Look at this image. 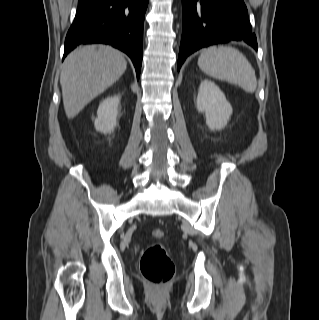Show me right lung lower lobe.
<instances>
[{"label":"right lung lower lobe","instance_id":"obj_1","mask_svg":"<svg viewBox=\"0 0 319 320\" xmlns=\"http://www.w3.org/2000/svg\"><path fill=\"white\" fill-rule=\"evenodd\" d=\"M149 0H78L64 57L79 44H110L132 60L137 78L142 63L144 16Z\"/></svg>","mask_w":319,"mask_h":320}]
</instances>
